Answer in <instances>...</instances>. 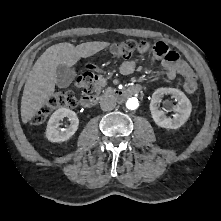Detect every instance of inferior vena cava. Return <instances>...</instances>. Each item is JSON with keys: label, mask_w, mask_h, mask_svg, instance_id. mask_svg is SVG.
<instances>
[{"label": "inferior vena cava", "mask_w": 221, "mask_h": 221, "mask_svg": "<svg viewBox=\"0 0 221 221\" xmlns=\"http://www.w3.org/2000/svg\"><path fill=\"white\" fill-rule=\"evenodd\" d=\"M100 106L103 111H110L115 108L116 102L113 98L104 97L100 101Z\"/></svg>", "instance_id": "inferior-vena-cava-1"}]
</instances>
